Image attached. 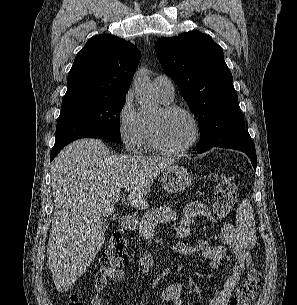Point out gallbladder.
<instances>
[{"label": "gallbladder", "mask_w": 297, "mask_h": 305, "mask_svg": "<svg viewBox=\"0 0 297 305\" xmlns=\"http://www.w3.org/2000/svg\"><path fill=\"white\" fill-rule=\"evenodd\" d=\"M109 223L106 220H102L98 223V230L103 233L108 228Z\"/></svg>", "instance_id": "gallbladder-1"}]
</instances>
